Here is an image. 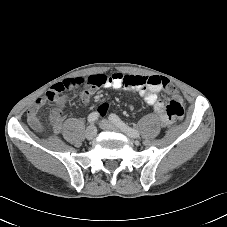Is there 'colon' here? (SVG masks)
<instances>
[{"instance_id": "obj_1", "label": "colon", "mask_w": 227, "mask_h": 227, "mask_svg": "<svg viewBox=\"0 0 227 227\" xmlns=\"http://www.w3.org/2000/svg\"><path fill=\"white\" fill-rule=\"evenodd\" d=\"M147 83L152 84V85H161V87L169 94H173L176 91L175 87L165 78L151 77L147 81ZM106 109H107V105L103 104L100 108V112L104 113L106 111ZM168 118H169V116H168Z\"/></svg>"}]
</instances>
